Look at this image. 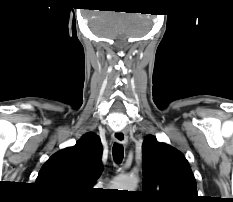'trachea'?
Returning a JSON list of instances; mask_svg holds the SVG:
<instances>
[{
    "label": "trachea",
    "mask_w": 233,
    "mask_h": 202,
    "mask_svg": "<svg viewBox=\"0 0 233 202\" xmlns=\"http://www.w3.org/2000/svg\"><path fill=\"white\" fill-rule=\"evenodd\" d=\"M112 154L114 161L119 164L122 162L124 157V148L121 144L114 143L112 148Z\"/></svg>",
    "instance_id": "1"
}]
</instances>
